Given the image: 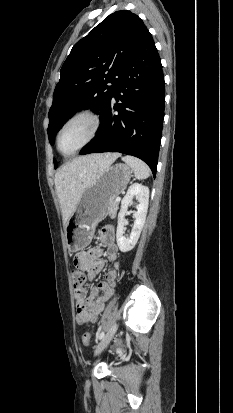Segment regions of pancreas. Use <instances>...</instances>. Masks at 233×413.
I'll return each mask as SVG.
<instances>
[{
  "label": "pancreas",
  "mask_w": 233,
  "mask_h": 413,
  "mask_svg": "<svg viewBox=\"0 0 233 413\" xmlns=\"http://www.w3.org/2000/svg\"><path fill=\"white\" fill-rule=\"evenodd\" d=\"M119 203L115 200H111L108 206V213L112 216L116 215Z\"/></svg>",
  "instance_id": "1"
}]
</instances>
